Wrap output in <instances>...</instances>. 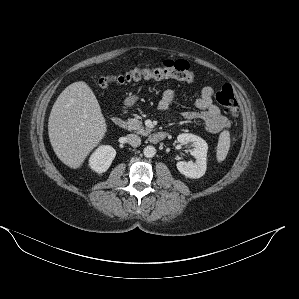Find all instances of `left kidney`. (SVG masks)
<instances>
[{
    "instance_id": "obj_1",
    "label": "left kidney",
    "mask_w": 299,
    "mask_h": 299,
    "mask_svg": "<svg viewBox=\"0 0 299 299\" xmlns=\"http://www.w3.org/2000/svg\"><path fill=\"white\" fill-rule=\"evenodd\" d=\"M177 140L181 144L192 143L194 147L191 151V155L196 159L195 162L179 161L176 166L178 171L188 178L197 179L202 177L206 172L207 167V151L208 145L201 137L190 134L182 133L178 135Z\"/></svg>"
}]
</instances>
